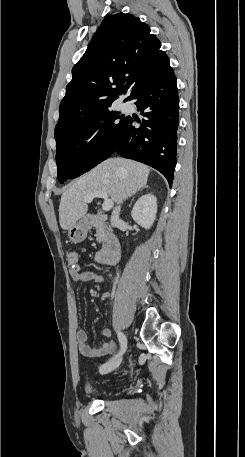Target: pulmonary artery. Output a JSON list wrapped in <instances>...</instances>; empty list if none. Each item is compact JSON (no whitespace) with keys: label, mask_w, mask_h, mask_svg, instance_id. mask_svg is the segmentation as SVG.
Returning a JSON list of instances; mask_svg holds the SVG:
<instances>
[{"label":"pulmonary artery","mask_w":245,"mask_h":457,"mask_svg":"<svg viewBox=\"0 0 245 457\" xmlns=\"http://www.w3.org/2000/svg\"><path fill=\"white\" fill-rule=\"evenodd\" d=\"M119 108L122 111L127 112V113L131 112V110H132V107H131V105L129 103H122V104H120Z\"/></svg>","instance_id":"obj_1"}]
</instances>
